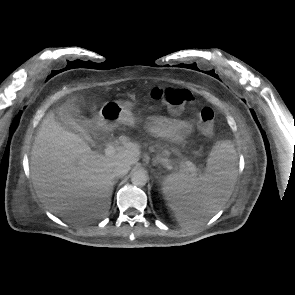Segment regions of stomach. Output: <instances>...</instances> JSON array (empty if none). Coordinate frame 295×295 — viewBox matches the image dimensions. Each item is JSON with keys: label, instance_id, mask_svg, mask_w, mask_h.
Wrapping results in <instances>:
<instances>
[{"label": "stomach", "instance_id": "0dacf381", "mask_svg": "<svg viewBox=\"0 0 295 295\" xmlns=\"http://www.w3.org/2000/svg\"><path fill=\"white\" fill-rule=\"evenodd\" d=\"M137 118L132 112L129 104L118 101H108L103 104L95 125L99 128L111 130L121 124L135 126Z\"/></svg>", "mask_w": 295, "mask_h": 295}]
</instances>
